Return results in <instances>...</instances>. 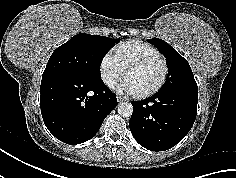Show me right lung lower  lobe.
Segmentation results:
<instances>
[{"label":"right lung lower lobe","instance_id":"obj_1","mask_svg":"<svg viewBox=\"0 0 236 178\" xmlns=\"http://www.w3.org/2000/svg\"><path fill=\"white\" fill-rule=\"evenodd\" d=\"M116 106V96L102 79L64 74L42 76L40 107L44 123L53 136L66 144L91 139Z\"/></svg>","mask_w":236,"mask_h":178}]
</instances>
